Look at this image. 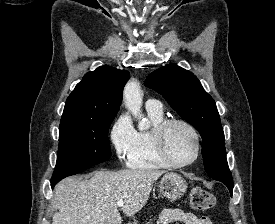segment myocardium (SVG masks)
Instances as JSON below:
<instances>
[{
  "label": "myocardium",
  "instance_id": "obj_1",
  "mask_svg": "<svg viewBox=\"0 0 275 224\" xmlns=\"http://www.w3.org/2000/svg\"><path fill=\"white\" fill-rule=\"evenodd\" d=\"M175 124H179L186 127L191 132L195 142V152L193 157L189 161H186L183 163L175 162L169 156L167 152L166 144H165V137H166L167 130L169 129V127ZM151 140L158 159L162 163H164L166 166L171 168L188 167L197 161L201 153V141H200V135L197 129L190 122L181 118L164 119L153 129Z\"/></svg>",
  "mask_w": 275,
  "mask_h": 224
}]
</instances>
